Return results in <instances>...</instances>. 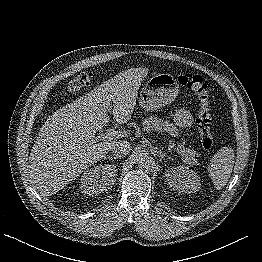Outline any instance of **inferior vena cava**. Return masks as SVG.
I'll use <instances>...</instances> for the list:
<instances>
[{
	"label": "inferior vena cava",
	"instance_id": "inferior-vena-cava-1",
	"mask_svg": "<svg viewBox=\"0 0 262 262\" xmlns=\"http://www.w3.org/2000/svg\"><path fill=\"white\" fill-rule=\"evenodd\" d=\"M111 149H112V153L117 158H123L129 154L131 150V144L128 141L119 140L113 144Z\"/></svg>",
	"mask_w": 262,
	"mask_h": 262
}]
</instances>
